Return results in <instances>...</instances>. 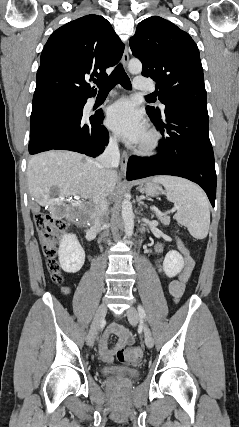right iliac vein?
I'll return each instance as SVG.
<instances>
[{
	"label": "right iliac vein",
	"mask_w": 239,
	"mask_h": 427,
	"mask_svg": "<svg viewBox=\"0 0 239 427\" xmlns=\"http://www.w3.org/2000/svg\"><path fill=\"white\" fill-rule=\"evenodd\" d=\"M106 313H107V306L105 303H102L96 311L93 323L91 325V329L87 336L88 346H93L98 330L105 319Z\"/></svg>",
	"instance_id": "obj_1"
}]
</instances>
